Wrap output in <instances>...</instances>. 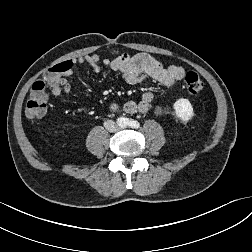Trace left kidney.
Instances as JSON below:
<instances>
[{
  "mask_svg": "<svg viewBox=\"0 0 252 252\" xmlns=\"http://www.w3.org/2000/svg\"><path fill=\"white\" fill-rule=\"evenodd\" d=\"M173 108L178 118L184 122H188L194 116L193 107L188 99H178L174 104Z\"/></svg>",
  "mask_w": 252,
  "mask_h": 252,
  "instance_id": "1",
  "label": "left kidney"
}]
</instances>
